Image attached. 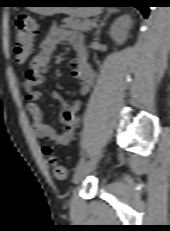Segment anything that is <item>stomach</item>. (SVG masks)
<instances>
[{
	"mask_svg": "<svg viewBox=\"0 0 170 231\" xmlns=\"http://www.w3.org/2000/svg\"><path fill=\"white\" fill-rule=\"evenodd\" d=\"M39 4H71L72 1L67 0H42L37 1ZM30 11L37 12L44 16H51L56 13H65L79 18H87L98 12L93 7H77V5L66 7H28Z\"/></svg>",
	"mask_w": 170,
	"mask_h": 231,
	"instance_id": "obj_1",
	"label": "stomach"
}]
</instances>
